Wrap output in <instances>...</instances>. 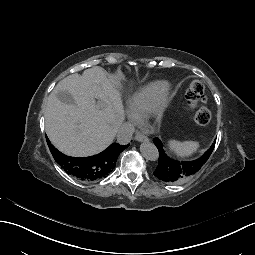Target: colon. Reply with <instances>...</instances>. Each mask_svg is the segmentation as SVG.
Masks as SVG:
<instances>
[{"mask_svg": "<svg viewBox=\"0 0 255 255\" xmlns=\"http://www.w3.org/2000/svg\"><path fill=\"white\" fill-rule=\"evenodd\" d=\"M205 86L201 80H192L186 91V103L192 112L194 121L198 125H206L211 120V111L207 106L201 105L204 102Z\"/></svg>", "mask_w": 255, "mask_h": 255, "instance_id": "colon-1", "label": "colon"}]
</instances>
